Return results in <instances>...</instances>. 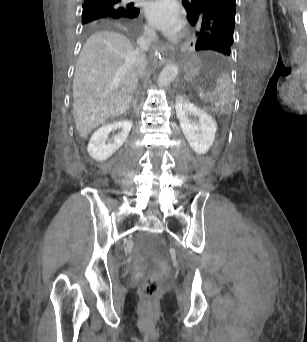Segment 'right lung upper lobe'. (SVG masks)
I'll list each match as a JSON object with an SVG mask.
<instances>
[{
  "label": "right lung upper lobe",
  "instance_id": "right-lung-upper-lobe-1",
  "mask_svg": "<svg viewBox=\"0 0 307 342\" xmlns=\"http://www.w3.org/2000/svg\"><path fill=\"white\" fill-rule=\"evenodd\" d=\"M121 1L122 0H84L83 10L105 9L112 11V14L82 24L83 32L87 33L101 28L133 29L139 14V9L125 5Z\"/></svg>",
  "mask_w": 307,
  "mask_h": 342
}]
</instances>
